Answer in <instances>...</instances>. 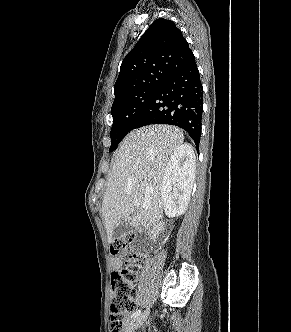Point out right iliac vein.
<instances>
[{"instance_id":"obj_1","label":"right iliac vein","mask_w":291,"mask_h":332,"mask_svg":"<svg viewBox=\"0 0 291 332\" xmlns=\"http://www.w3.org/2000/svg\"><path fill=\"white\" fill-rule=\"evenodd\" d=\"M148 316H149V311L146 310L139 316L135 317L126 327V332L135 331L137 328L143 325V323L147 320Z\"/></svg>"}]
</instances>
